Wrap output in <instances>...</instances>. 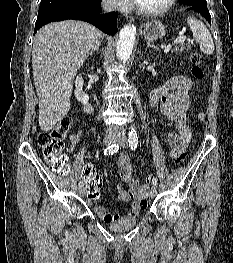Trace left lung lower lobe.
<instances>
[{
    "mask_svg": "<svg viewBox=\"0 0 233 263\" xmlns=\"http://www.w3.org/2000/svg\"><path fill=\"white\" fill-rule=\"evenodd\" d=\"M186 8L201 13V15L211 24V16L207 9V5H191L186 6Z\"/></svg>",
    "mask_w": 233,
    "mask_h": 263,
    "instance_id": "1",
    "label": "left lung lower lobe"
}]
</instances>
